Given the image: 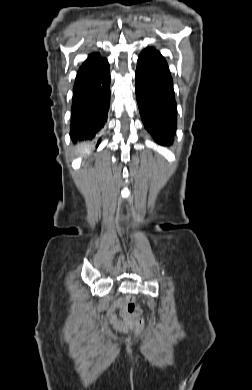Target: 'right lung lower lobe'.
I'll return each instance as SVG.
<instances>
[{"label":"right lung lower lobe","mask_w":252,"mask_h":390,"mask_svg":"<svg viewBox=\"0 0 252 390\" xmlns=\"http://www.w3.org/2000/svg\"><path fill=\"white\" fill-rule=\"evenodd\" d=\"M109 107V65L96 74L76 77L71 108V139H93L107 121ZM99 143L100 140L97 146Z\"/></svg>","instance_id":"98d812e1"}]
</instances>
